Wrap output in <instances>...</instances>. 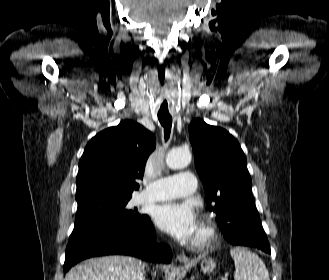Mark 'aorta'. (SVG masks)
I'll return each instance as SVG.
<instances>
[{"instance_id": "aorta-1", "label": "aorta", "mask_w": 329, "mask_h": 280, "mask_svg": "<svg viewBox=\"0 0 329 280\" xmlns=\"http://www.w3.org/2000/svg\"><path fill=\"white\" fill-rule=\"evenodd\" d=\"M191 158L188 149H173L166 156V164L171 169H182L190 164Z\"/></svg>"}]
</instances>
